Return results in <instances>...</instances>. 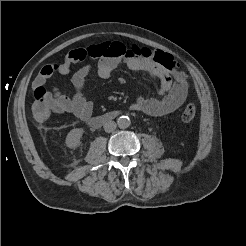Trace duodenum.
<instances>
[{"label": "duodenum", "mask_w": 246, "mask_h": 246, "mask_svg": "<svg viewBox=\"0 0 246 246\" xmlns=\"http://www.w3.org/2000/svg\"><path fill=\"white\" fill-rule=\"evenodd\" d=\"M119 114L120 113L118 111L107 112V113H104L102 115L92 117L89 120V123L92 127L98 128V127L102 126L103 124H105L106 122L115 119L116 117L119 116Z\"/></svg>", "instance_id": "1"}]
</instances>
